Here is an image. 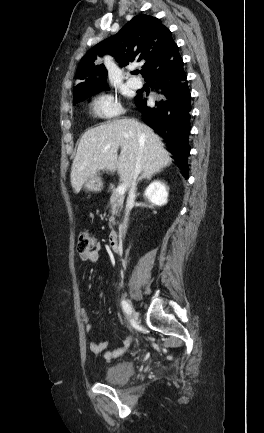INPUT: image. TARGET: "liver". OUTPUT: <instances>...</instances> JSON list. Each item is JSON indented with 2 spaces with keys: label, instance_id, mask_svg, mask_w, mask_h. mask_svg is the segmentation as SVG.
<instances>
[{
  "label": "liver",
  "instance_id": "6515ba94",
  "mask_svg": "<svg viewBox=\"0 0 264 433\" xmlns=\"http://www.w3.org/2000/svg\"><path fill=\"white\" fill-rule=\"evenodd\" d=\"M139 156L142 172L148 175L160 172L172 162L159 136L135 119H116L89 129L81 137L73 160L71 185L79 193L85 181L100 170L111 173L117 170L129 188Z\"/></svg>",
  "mask_w": 264,
  "mask_h": 433
}]
</instances>
